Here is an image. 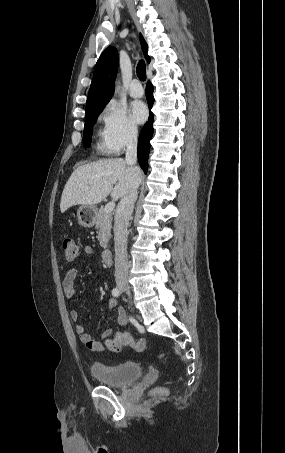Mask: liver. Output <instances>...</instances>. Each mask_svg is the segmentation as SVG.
Returning a JSON list of instances; mask_svg holds the SVG:
<instances>
[{
	"mask_svg": "<svg viewBox=\"0 0 285 453\" xmlns=\"http://www.w3.org/2000/svg\"><path fill=\"white\" fill-rule=\"evenodd\" d=\"M141 179L122 158L98 160L78 166L68 179L61 196L60 210L64 213L74 205L93 206L109 194L113 200L126 196L135 178ZM115 185V187H113Z\"/></svg>",
	"mask_w": 285,
	"mask_h": 453,
	"instance_id": "6515ba94",
	"label": "liver"
}]
</instances>
